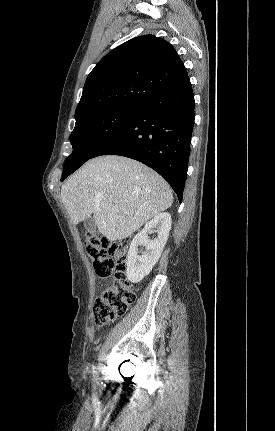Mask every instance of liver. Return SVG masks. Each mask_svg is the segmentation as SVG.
<instances>
[{"label":"liver","instance_id":"6515ba94","mask_svg":"<svg viewBox=\"0 0 275 431\" xmlns=\"http://www.w3.org/2000/svg\"><path fill=\"white\" fill-rule=\"evenodd\" d=\"M61 199L74 225L93 214L99 232L117 241L169 208L173 194L149 167L107 155L89 160L72 175L62 186Z\"/></svg>","mask_w":275,"mask_h":431}]
</instances>
